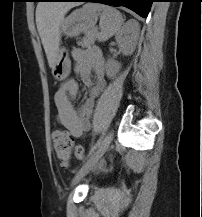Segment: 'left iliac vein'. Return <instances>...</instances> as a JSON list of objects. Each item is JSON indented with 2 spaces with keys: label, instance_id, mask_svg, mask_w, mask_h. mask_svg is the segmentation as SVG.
<instances>
[{
  "label": "left iliac vein",
  "instance_id": "obj_1",
  "mask_svg": "<svg viewBox=\"0 0 202 217\" xmlns=\"http://www.w3.org/2000/svg\"><path fill=\"white\" fill-rule=\"evenodd\" d=\"M112 140H113V133L108 132L104 137V139L102 140L100 146L97 148V150L90 155L87 162L76 173L74 179L72 180V186L77 184L81 179H83V177H85V175H87L88 172L98 163V161L102 158V156L109 148Z\"/></svg>",
  "mask_w": 202,
  "mask_h": 217
}]
</instances>
